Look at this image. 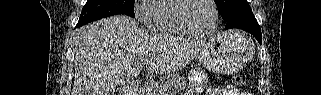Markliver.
<instances>
[{"label": "liver", "instance_id": "obj_1", "mask_svg": "<svg viewBox=\"0 0 321 95\" xmlns=\"http://www.w3.org/2000/svg\"><path fill=\"white\" fill-rule=\"evenodd\" d=\"M74 41L72 95H114L117 85L139 74L140 61H145L150 74L176 72L190 64L207 44L149 34L125 15L81 27Z\"/></svg>", "mask_w": 321, "mask_h": 95}]
</instances>
